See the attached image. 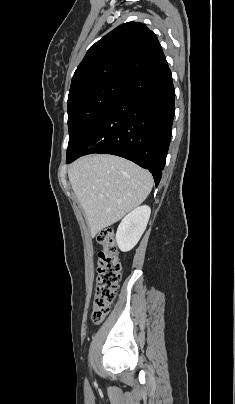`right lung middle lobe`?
I'll return each instance as SVG.
<instances>
[{
    "instance_id": "obj_1",
    "label": "right lung middle lobe",
    "mask_w": 235,
    "mask_h": 404,
    "mask_svg": "<svg viewBox=\"0 0 235 404\" xmlns=\"http://www.w3.org/2000/svg\"><path fill=\"white\" fill-rule=\"evenodd\" d=\"M124 82H106L85 88L68 99L69 144L67 156L86 133L121 98Z\"/></svg>"
}]
</instances>
